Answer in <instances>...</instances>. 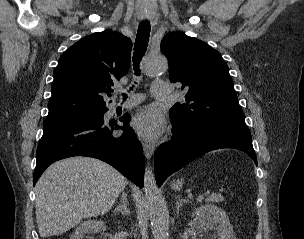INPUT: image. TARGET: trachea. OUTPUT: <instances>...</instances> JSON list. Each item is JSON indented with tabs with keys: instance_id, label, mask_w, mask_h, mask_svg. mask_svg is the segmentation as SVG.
Instances as JSON below:
<instances>
[{
	"instance_id": "trachea-1",
	"label": "trachea",
	"mask_w": 304,
	"mask_h": 239,
	"mask_svg": "<svg viewBox=\"0 0 304 239\" xmlns=\"http://www.w3.org/2000/svg\"><path fill=\"white\" fill-rule=\"evenodd\" d=\"M150 30L151 27L149 21H144L139 24L133 53V66L136 76L140 75L139 63L147 50ZM123 97L126 98V94H123Z\"/></svg>"
}]
</instances>
